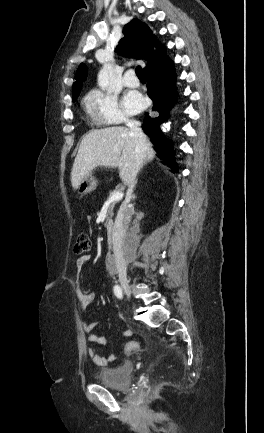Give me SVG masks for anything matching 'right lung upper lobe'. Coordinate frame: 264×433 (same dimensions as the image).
I'll use <instances>...</instances> for the list:
<instances>
[{"mask_svg": "<svg viewBox=\"0 0 264 433\" xmlns=\"http://www.w3.org/2000/svg\"><path fill=\"white\" fill-rule=\"evenodd\" d=\"M123 34L124 38L120 40L116 47L117 53L122 56L145 60L148 64L144 68V72L169 59L165 47L158 42L150 28L140 20L133 19L128 23L123 30ZM86 75L87 68L84 64H81L75 75L77 81L73 84V99L78 97Z\"/></svg>", "mask_w": 264, "mask_h": 433, "instance_id": "right-lung-upper-lobe-1", "label": "right lung upper lobe"}]
</instances>
